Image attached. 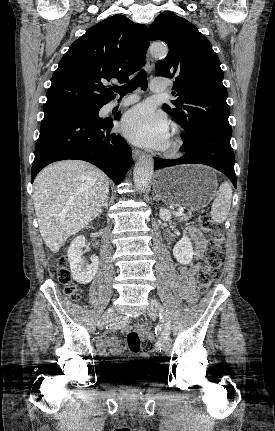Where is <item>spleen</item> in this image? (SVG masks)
Segmentation results:
<instances>
[{
	"label": "spleen",
	"instance_id": "3e777b00",
	"mask_svg": "<svg viewBox=\"0 0 275 431\" xmlns=\"http://www.w3.org/2000/svg\"><path fill=\"white\" fill-rule=\"evenodd\" d=\"M232 199V188L228 182H223L216 194L211 207V217L216 223H223L229 213Z\"/></svg>",
	"mask_w": 275,
	"mask_h": 431
}]
</instances>
